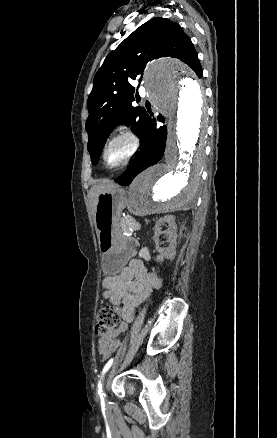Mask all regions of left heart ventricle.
I'll return each instance as SVG.
<instances>
[{"mask_svg":"<svg viewBox=\"0 0 277 438\" xmlns=\"http://www.w3.org/2000/svg\"><path fill=\"white\" fill-rule=\"evenodd\" d=\"M129 144L126 140H120L111 145L106 154V160L109 165H115L121 162L128 152Z\"/></svg>","mask_w":277,"mask_h":438,"instance_id":"obj_1","label":"left heart ventricle"}]
</instances>
